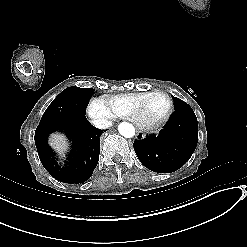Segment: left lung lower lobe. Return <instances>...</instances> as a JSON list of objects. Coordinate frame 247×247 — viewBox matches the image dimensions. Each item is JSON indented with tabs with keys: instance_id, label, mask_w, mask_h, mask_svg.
Instances as JSON below:
<instances>
[{
	"instance_id": "left-lung-lower-lobe-1",
	"label": "left lung lower lobe",
	"mask_w": 247,
	"mask_h": 247,
	"mask_svg": "<svg viewBox=\"0 0 247 247\" xmlns=\"http://www.w3.org/2000/svg\"><path fill=\"white\" fill-rule=\"evenodd\" d=\"M198 142V122L192 109L175 111L157 135H139L133 146L140 162L151 171L171 173L192 156Z\"/></svg>"
}]
</instances>
